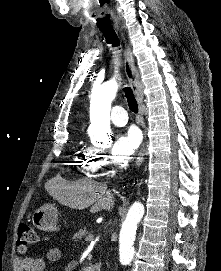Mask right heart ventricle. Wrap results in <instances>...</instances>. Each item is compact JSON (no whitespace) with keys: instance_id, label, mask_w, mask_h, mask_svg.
I'll list each match as a JSON object with an SVG mask.
<instances>
[{"instance_id":"1","label":"right heart ventricle","mask_w":221,"mask_h":271,"mask_svg":"<svg viewBox=\"0 0 221 271\" xmlns=\"http://www.w3.org/2000/svg\"><path fill=\"white\" fill-rule=\"evenodd\" d=\"M72 163H89V158H72ZM93 164H85V169H93Z\"/></svg>"}]
</instances>
